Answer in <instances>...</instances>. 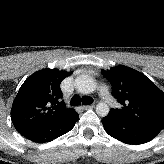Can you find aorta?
Instances as JSON below:
<instances>
[{"label": "aorta", "mask_w": 164, "mask_h": 164, "mask_svg": "<svg viewBox=\"0 0 164 164\" xmlns=\"http://www.w3.org/2000/svg\"><path fill=\"white\" fill-rule=\"evenodd\" d=\"M75 86L77 90L83 94L93 93L97 88L94 79L87 75L79 76L76 79ZM96 113L99 116H107L109 113V106L105 102L98 103L96 106Z\"/></svg>", "instance_id": "obj_1"}]
</instances>
